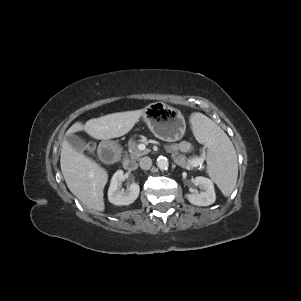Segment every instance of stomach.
Instances as JSON below:
<instances>
[{
  "mask_svg": "<svg viewBox=\"0 0 301 301\" xmlns=\"http://www.w3.org/2000/svg\"><path fill=\"white\" fill-rule=\"evenodd\" d=\"M143 112L146 124L157 138L173 142L184 136L186 123L179 110L157 102L147 106Z\"/></svg>",
  "mask_w": 301,
  "mask_h": 301,
  "instance_id": "stomach-1",
  "label": "stomach"
}]
</instances>
